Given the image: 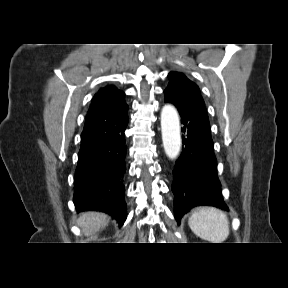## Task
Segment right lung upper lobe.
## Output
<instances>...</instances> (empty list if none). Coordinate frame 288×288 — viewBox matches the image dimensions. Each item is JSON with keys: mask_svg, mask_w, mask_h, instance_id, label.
I'll return each instance as SVG.
<instances>
[{"mask_svg": "<svg viewBox=\"0 0 288 288\" xmlns=\"http://www.w3.org/2000/svg\"><path fill=\"white\" fill-rule=\"evenodd\" d=\"M125 93L115 86L101 88L92 99L81 135V148L113 138L128 123Z\"/></svg>", "mask_w": 288, "mask_h": 288, "instance_id": "obj_1", "label": "right lung upper lobe"}]
</instances>
